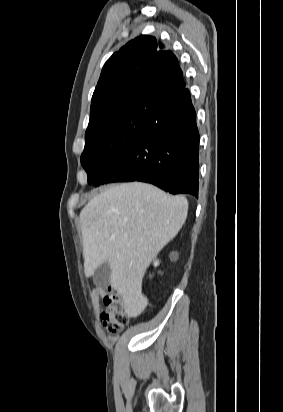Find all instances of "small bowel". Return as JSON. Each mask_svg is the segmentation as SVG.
Returning <instances> with one entry per match:
<instances>
[{
    "label": "small bowel",
    "instance_id": "obj_1",
    "mask_svg": "<svg viewBox=\"0 0 283 412\" xmlns=\"http://www.w3.org/2000/svg\"><path fill=\"white\" fill-rule=\"evenodd\" d=\"M104 295V291L102 289H96L94 292V300L98 302L99 298Z\"/></svg>",
    "mask_w": 283,
    "mask_h": 412
}]
</instances>
